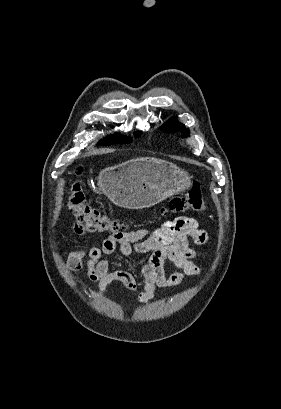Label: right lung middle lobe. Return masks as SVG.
<instances>
[{
    "label": "right lung middle lobe",
    "instance_id": "right-lung-middle-lobe-1",
    "mask_svg": "<svg viewBox=\"0 0 281 409\" xmlns=\"http://www.w3.org/2000/svg\"><path fill=\"white\" fill-rule=\"evenodd\" d=\"M140 133H137L139 135ZM131 140L125 138L119 134H114L109 137H106L102 141L99 142L98 145H110V144H117V143H129Z\"/></svg>",
    "mask_w": 281,
    "mask_h": 409
}]
</instances>
